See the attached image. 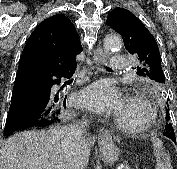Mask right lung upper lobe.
Wrapping results in <instances>:
<instances>
[{
    "instance_id": "obj_1",
    "label": "right lung upper lobe",
    "mask_w": 177,
    "mask_h": 169,
    "mask_svg": "<svg viewBox=\"0 0 177 169\" xmlns=\"http://www.w3.org/2000/svg\"><path fill=\"white\" fill-rule=\"evenodd\" d=\"M81 50L73 23L64 15H54L42 21L30 35L19 68L71 70L76 67V55Z\"/></svg>"
}]
</instances>
